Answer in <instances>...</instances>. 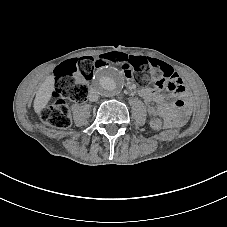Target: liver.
Segmentation results:
<instances>
[{"label": "liver", "instance_id": "6515ba94", "mask_svg": "<svg viewBox=\"0 0 227 227\" xmlns=\"http://www.w3.org/2000/svg\"><path fill=\"white\" fill-rule=\"evenodd\" d=\"M53 89H54L53 77L49 76L45 79V81L42 83V85L40 86L36 93V97L34 100V110L36 111V113H39L42 110V108L45 107L50 98V92Z\"/></svg>", "mask_w": 227, "mask_h": 227}]
</instances>
